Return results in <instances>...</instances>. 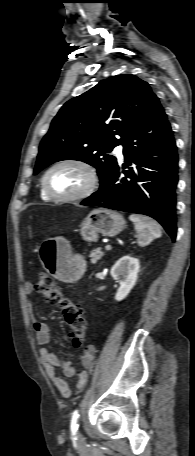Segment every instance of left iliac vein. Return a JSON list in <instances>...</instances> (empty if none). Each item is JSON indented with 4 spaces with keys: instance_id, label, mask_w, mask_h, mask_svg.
<instances>
[{
    "instance_id": "left-iliac-vein-1",
    "label": "left iliac vein",
    "mask_w": 195,
    "mask_h": 456,
    "mask_svg": "<svg viewBox=\"0 0 195 456\" xmlns=\"http://www.w3.org/2000/svg\"><path fill=\"white\" fill-rule=\"evenodd\" d=\"M81 435L78 433V437H80Z\"/></svg>"
}]
</instances>
